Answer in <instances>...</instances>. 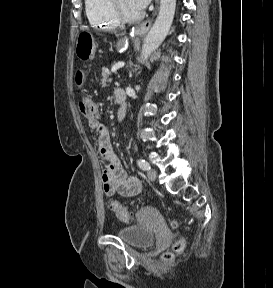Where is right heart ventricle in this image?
I'll list each match as a JSON object with an SVG mask.
<instances>
[{
  "label": "right heart ventricle",
  "mask_w": 273,
  "mask_h": 288,
  "mask_svg": "<svg viewBox=\"0 0 273 288\" xmlns=\"http://www.w3.org/2000/svg\"><path fill=\"white\" fill-rule=\"evenodd\" d=\"M85 10L92 27L101 30H111L118 27L110 11L109 0H85Z\"/></svg>",
  "instance_id": "1"
}]
</instances>
